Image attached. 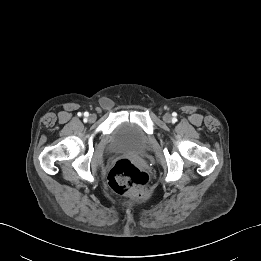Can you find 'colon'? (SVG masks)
<instances>
[{
    "instance_id": "obj_1",
    "label": "colon",
    "mask_w": 261,
    "mask_h": 261,
    "mask_svg": "<svg viewBox=\"0 0 261 261\" xmlns=\"http://www.w3.org/2000/svg\"><path fill=\"white\" fill-rule=\"evenodd\" d=\"M108 181L116 193L138 200L147 194L149 177L131 160L122 158L112 166Z\"/></svg>"
}]
</instances>
